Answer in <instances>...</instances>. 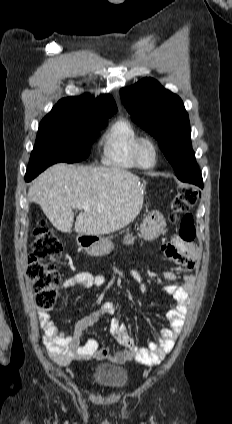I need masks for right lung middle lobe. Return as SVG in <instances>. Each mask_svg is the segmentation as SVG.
I'll return each instance as SVG.
<instances>
[{
	"label": "right lung middle lobe",
	"instance_id": "obj_1",
	"mask_svg": "<svg viewBox=\"0 0 232 424\" xmlns=\"http://www.w3.org/2000/svg\"><path fill=\"white\" fill-rule=\"evenodd\" d=\"M107 124V118L97 120L70 113H49L39 124L26 175L41 173L57 162L86 159L93 140Z\"/></svg>",
	"mask_w": 232,
	"mask_h": 424
}]
</instances>
